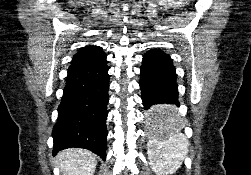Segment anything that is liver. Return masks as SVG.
Listing matches in <instances>:
<instances>
[{"label":"liver","instance_id":"6515ba94","mask_svg":"<svg viewBox=\"0 0 251 175\" xmlns=\"http://www.w3.org/2000/svg\"><path fill=\"white\" fill-rule=\"evenodd\" d=\"M56 161L63 175H94L97 165L96 155L80 147H70V149L59 151Z\"/></svg>","mask_w":251,"mask_h":175}]
</instances>
